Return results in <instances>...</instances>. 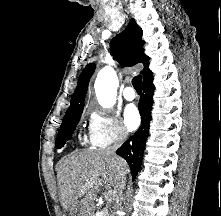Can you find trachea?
Returning <instances> with one entry per match:
<instances>
[{
    "label": "trachea",
    "instance_id": "3493384b",
    "mask_svg": "<svg viewBox=\"0 0 221 216\" xmlns=\"http://www.w3.org/2000/svg\"><path fill=\"white\" fill-rule=\"evenodd\" d=\"M132 84L138 93L142 91V77L140 75L133 78Z\"/></svg>",
    "mask_w": 221,
    "mask_h": 216
}]
</instances>
